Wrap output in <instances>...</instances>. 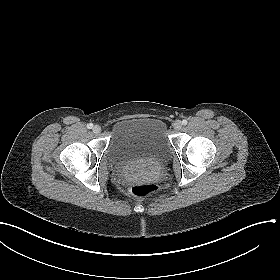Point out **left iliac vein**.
Returning a JSON list of instances; mask_svg holds the SVG:
<instances>
[{
  "label": "left iliac vein",
  "mask_w": 280,
  "mask_h": 280,
  "mask_svg": "<svg viewBox=\"0 0 280 280\" xmlns=\"http://www.w3.org/2000/svg\"><path fill=\"white\" fill-rule=\"evenodd\" d=\"M173 128H174L176 131L181 130V128H182V122H181L180 120H176V121L173 123Z\"/></svg>",
  "instance_id": "left-iliac-vein-1"
}]
</instances>
